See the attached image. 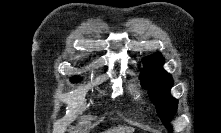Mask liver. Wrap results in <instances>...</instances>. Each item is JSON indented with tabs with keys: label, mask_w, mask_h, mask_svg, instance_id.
<instances>
[{
	"label": "liver",
	"mask_w": 221,
	"mask_h": 133,
	"mask_svg": "<svg viewBox=\"0 0 221 133\" xmlns=\"http://www.w3.org/2000/svg\"><path fill=\"white\" fill-rule=\"evenodd\" d=\"M133 130L131 127H116L108 130L106 133H133Z\"/></svg>",
	"instance_id": "obj_1"
}]
</instances>
